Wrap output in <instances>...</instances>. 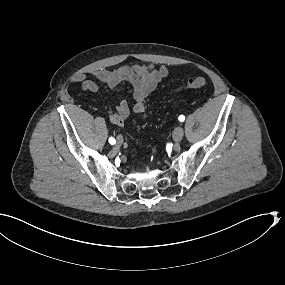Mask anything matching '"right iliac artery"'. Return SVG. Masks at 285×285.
<instances>
[{"label": "right iliac artery", "mask_w": 285, "mask_h": 285, "mask_svg": "<svg viewBox=\"0 0 285 285\" xmlns=\"http://www.w3.org/2000/svg\"><path fill=\"white\" fill-rule=\"evenodd\" d=\"M109 143H110L111 145H114V144L116 143V140H115L113 137H110V138H109Z\"/></svg>", "instance_id": "82829eb1"}]
</instances>
